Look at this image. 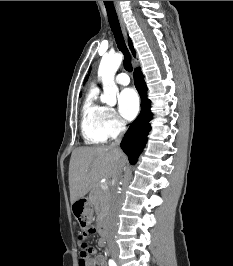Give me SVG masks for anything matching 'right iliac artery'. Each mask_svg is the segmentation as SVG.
<instances>
[{"label":"right iliac artery","instance_id":"right-iliac-artery-1","mask_svg":"<svg viewBox=\"0 0 233 266\" xmlns=\"http://www.w3.org/2000/svg\"><path fill=\"white\" fill-rule=\"evenodd\" d=\"M108 263H109V266H117V264L115 263V261L112 260V259H110Z\"/></svg>","mask_w":233,"mask_h":266}]
</instances>
